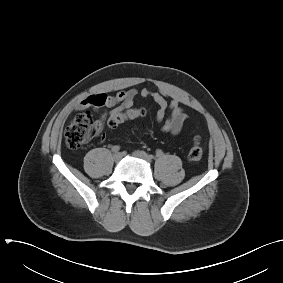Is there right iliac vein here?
<instances>
[{
	"instance_id": "right-iliac-vein-1",
	"label": "right iliac vein",
	"mask_w": 283,
	"mask_h": 283,
	"mask_svg": "<svg viewBox=\"0 0 283 283\" xmlns=\"http://www.w3.org/2000/svg\"><path fill=\"white\" fill-rule=\"evenodd\" d=\"M122 156L123 155L121 153H115L113 155V160L117 163V162H119L122 159Z\"/></svg>"
}]
</instances>
